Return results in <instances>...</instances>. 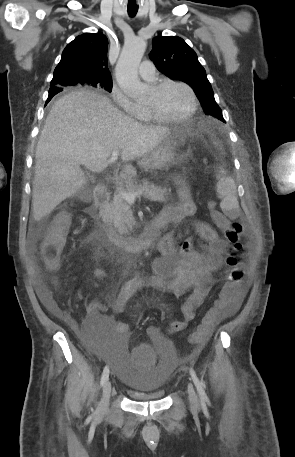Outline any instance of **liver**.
<instances>
[{
	"label": "liver",
	"mask_w": 295,
	"mask_h": 457,
	"mask_svg": "<svg viewBox=\"0 0 295 457\" xmlns=\"http://www.w3.org/2000/svg\"><path fill=\"white\" fill-rule=\"evenodd\" d=\"M171 132L135 121L100 93L81 90L64 95L52 106L36 148L34 220L40 221L86 184L81 165L101 172L112 152L119 150L125 163L122 172L131 180L137 171L128 162L149 154Z\"/></svg>",
	"instance_id": "6515ba94"
}]
</instances>
